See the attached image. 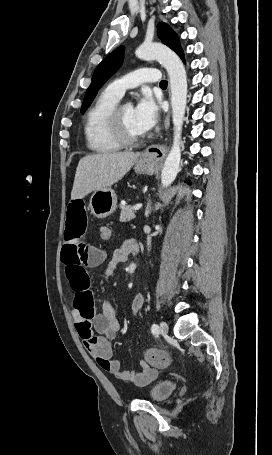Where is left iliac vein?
Masks as SVG:
<instances>
[{
  "mask_svg": "<svg viewBox=\"0 0 272 455\" xmlns=\"http://www.w3.org/2000/svg\"><path fill=\"white\" fill-rule=\"evenodd\" d=\"M168 330H169V328H168L167 323L161 322L160 323V332H161V334L162 335H167L168 334Z\"/></svg>",
  "mask_w": 272,
  "mask_h": 455,
  "instance_id": "obj_1",
  "label": "left iliac vein"
}]
</instances>
